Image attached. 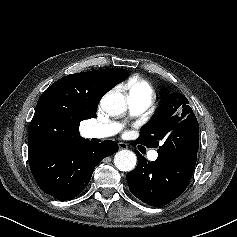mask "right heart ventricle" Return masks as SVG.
I'll list each match as a JSON object with an SVG mask.
<instances>
[{"label": "right heart ventricle", "mask_w": 237, "mask_h": 237, "mask_svg": "<svg viewBox=\"0 0 237 237\" xmlns=\"http://www.w3.org/2000/svg\"><path fill=\"white\" fill-rule=\"evenodd\" d=\"M129 95L135 97H149L153 98V88L149 82L143 79H132L129 82Z\"/></svg>", "instance_id": "e07e8e85"}]
</instances>
